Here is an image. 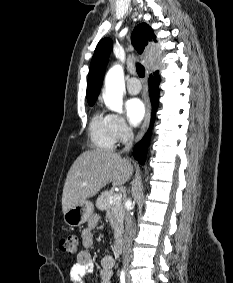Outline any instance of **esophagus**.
Returning a JSON list of instances; mask_svg holds the SVG:
<instances>
[{"label": "esophagus", "mask_w": 233, "mask_h": 283, "mask_svg": "<svg viewBox=\"0 0 233 283\" xmlns=\"http://www.w3.org/2000/svg\"><path fill=\"white\" fill-rule=\"evenodd\" d=\"M145 105H146V114H145V118L141 126V129L136 137V141H139L144 136V134L147 132L149 125H150L151 103H150L148 94L145 95Z\"/></svg>", "instance_id": "1"}]
</instances>
